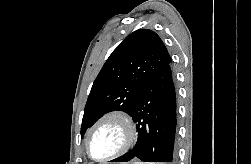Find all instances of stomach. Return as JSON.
Segmentation results:
<instances>
[{
    "label": "stomach",
    "mask_w": 251,
    "mask_h": 164,
    "mask_svg": "<svg viewBox=\"0 0 251 164\" xmlns=\"http://www.w3.org/2000/svg\"><path fill=\"white\" fill-rule=\"evenodd\" d=\"M131 164H142L141 162H134V163H131Z\"/></svg>",
    "instance_id": "stomach-1"
}]
</instances>
